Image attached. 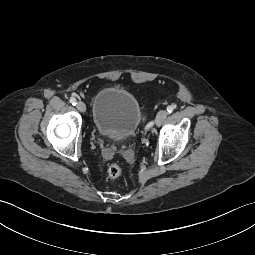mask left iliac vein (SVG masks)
Here are the masks:
<instances>
[{
	"mask_svg": "<svg viewBox=\"0 0 255 255\" xmlns=\"http://www.w3.org/2000/svg\"><path fill=\"white\" fill-rule=\"evenodd\" d=\"M167 111L165 110H160L157 115H156V119H155V123L159 126L162 124V122L166 119L167 117Z\"/></svg>",
	"mask_w": 255,
	"mask_h": 255,
	"instance_id": "1",
	"label": "left iliac vein"
}]
</instances>
